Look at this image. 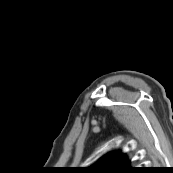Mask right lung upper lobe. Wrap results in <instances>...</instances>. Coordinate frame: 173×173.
<instances>
[{"label":"right lung upper lobe","instance_id":"1","mask_svg":"<svg viewBox=\"0 0 173 173\" xmlns=\"http://www.w3.org/2000/svg\"><path fill=\"white\" fill-rule=\"evenodd\" d=\"M124 154L120 152L105 156L99 162L87 168L91 173H128L133 168L130 167Z\"/></svg>","mask_w":173,"mask_h":173}]
</instances>
